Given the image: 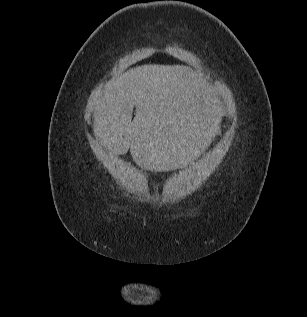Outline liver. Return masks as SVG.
<instances>
[{"label":"liver","instance_id":"1","mask_svg":"<svg viewBox=\"0 0 307 317\" xmlns=\"http://www.w3.org/2000/svg\"><path fill=\"white\" fill-rule=\"evenodd\" d=\"M220 97L190 67L149 64L114 76L88 105L102 146L119 154L130 148L141 170L174 175L213 154L226 116Z\"/></svg>","mask_w":307,"mask_h":317}]
</instances>
